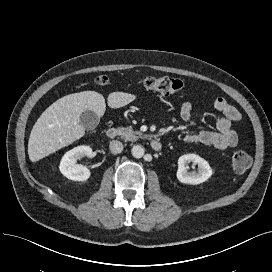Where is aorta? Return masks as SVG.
Masks as SVG:
<instances>
[{"mask_svg":"<svg viewBox=\"0 0 272 272\" xmlns=\"http://www.w3.org/2000/svg\"><path fill=\"white\" fill-rule=\"evenodd\" d=\"M131 153H132V156L134 158L139 159V158H142L144 156L145 149L141 145H134L132 147Z\"/></svg>","mask_w":272,"mask_h":272,"instance_id":"aorta-1","label":"aorta"}]
</instances>
